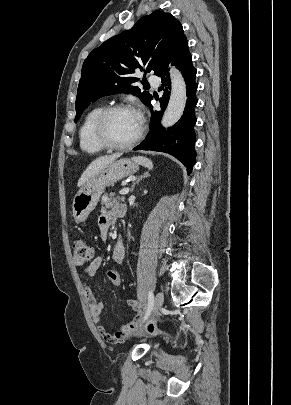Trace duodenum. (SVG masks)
Instances as JSON below:
<instances>
[{"mask_svg":"<svg viewBox=\"0 0 291 405\" xmlns=\"http://www.w3.org/2000/svg\"><path fill=\"white\" fill-rule=\"evenodd\" d=\"M118 215H119V216H123V215H124V209H123V208H119V209H118Z\"/></svg>","mask_w":291,"mask_h":405,"instance_id":"1","label":"duodenum"}]
</instances>
